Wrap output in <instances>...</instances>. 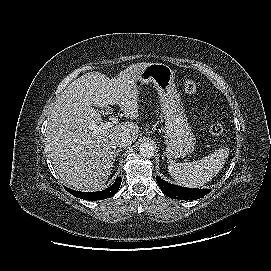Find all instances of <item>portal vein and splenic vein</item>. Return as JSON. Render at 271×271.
I'll list each match as a JSON object with an SVG mask.
<instances>
[{"instance_id": "obj_1", "label": "portal vein and splenic vein", "mask_w": 271, "mask_h": 271, "mask_svg": "<svg viewBox=\"0 0 271 271\" xmlns=\"http://www.w3.org/2000/svg\"><path fill=\"white\" fill-rule=\"evenodd\" d=\"M116 124H118V118L113 117L111 122H107V123L101 122L99 125L95 126L93 129H94V132L97 134L101 131L112 128Z\"/></svg>"}]
</instances>
